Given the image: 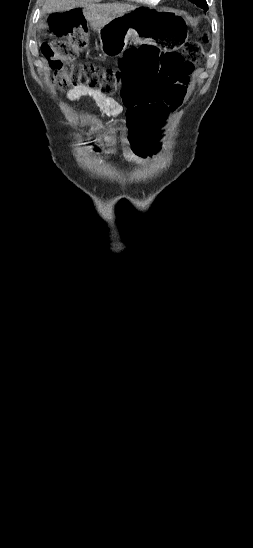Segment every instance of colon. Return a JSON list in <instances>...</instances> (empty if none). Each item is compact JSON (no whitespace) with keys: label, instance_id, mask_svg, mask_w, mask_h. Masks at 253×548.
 I'll list each match as a JSON object with an SVG mask.
<instances>
[{"label":"colon","instance_id":"obj_1","mask_svg":"<svg viewBox=\"0 0 253 548\" xmlns=\"http://www.w3.org/2000/svg\"><path fill=\"white\" fill-rule=\"evenodd\" d=\"M52 27L57 39L46 44L43 55L54 70L53 84L67 91L84 85L105 95L119 92L128 105L129 140L139 159L153 158L160 152L157 126L168 124L170 110L183 102L190 84V73L204 56L200 41L185 44L182 52L158 55L155 48L142 45L129 49L118 68H108L77 60L87 44V25L82 12L56 13ZM163 60H152L156 57Z\"/></svg>","mask_w":253,"mask_h":548}]
</instances>
